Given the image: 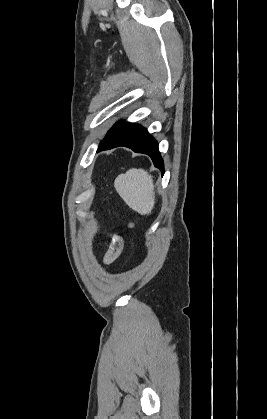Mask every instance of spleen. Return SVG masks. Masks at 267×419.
Returning a JSON list of instances; mask_svg holds the SVG:
<instances>
[{"label":"spleen","instance_id":"3e777b00","mask_svg":"<svg viewBox=\"0 0 267 419\" xmlns=\"http://www.w3.org/2000/svg\"><path fill=\"white\" fill-rule=\"evenodd\" d=\"M114 187L124 202L141 215L150 214L155 204L153 178L143 169H129L120 174Z\"/></svg>","mask_w":267,"mask_h":419}]
</instances>
